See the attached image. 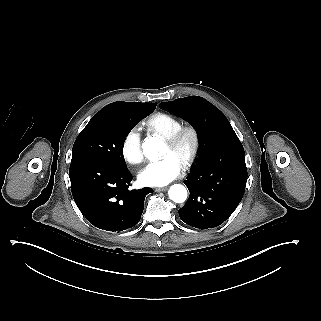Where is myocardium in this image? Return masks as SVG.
Wrapping results in <instances>:
<instances>
[{
    "label": "myocardium",
    "mask_w": 321,
    "mask_h": 321,
    "mask_svg": "<svg viewBox=\"0 0 321 321\" xmlns=\"http://www.w3.org/2000/svg\"><path fill=\"white\" fill-rule=\"evenodd\" d=\"M162 138L174 153L181 156L184 168L192 166L201 147V137L196 126L183 125L173 134Z\"/></svg>",
    "instance_id": "f54148a6"
}]
</instances>
